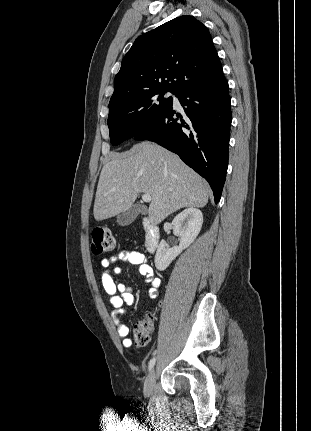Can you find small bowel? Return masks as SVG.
<instances>
[{"mask_svg": "<svg viewBox=\"0 0 311 431\" xmlns=\"http://www.w3.org/2000/svg\"><path fill=\"white\" fill-rule=\"evenodd\" d=\"M119 261H128L138 267L139 273L144 277L145 281L150 284L149 295L153 298L157 297L160 280L154 276L153 269L146 257L142 253L134 250L120 251L118 254L101 261V282L114 308L112 317L117 332L122 338L123 346L130 347L132 341L128 337L129 328L120 322L119 315L125 312V306H130L134 303V296L131 287L116 280L117 276H122V269L118 266H113Z\"/></svg>", "mask_w": 311, "mask_h": 431, "instance_id": "1", "label": "small bowel"}]
</instances>
